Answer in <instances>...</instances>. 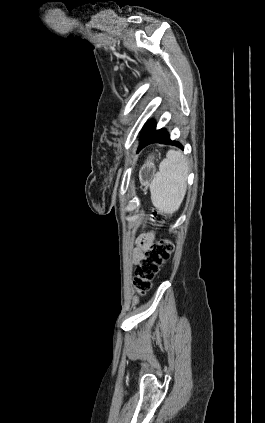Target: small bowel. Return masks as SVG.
<instances>
[{
	"label": "small bowel",
	"instance_id": "1",
	"mask_svg": "<svg viewBox=\"0 0 265 423\" xmlns=\"http://www.w3.org/2000/svg\"><path fill=\"white\" fill-rule=\"evenodd\" d=\"M154 239L155 234L153 232H147L139 237L137 248L132 255V263L134 265H137L143 256V252L154 242Z\"/></svg>",
	"mask_w": 265,
	"mask_h": 423
}]
</instances>
